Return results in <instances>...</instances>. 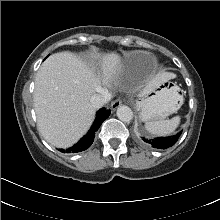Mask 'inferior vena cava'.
<instances>
[{"mask_svg": "<svg viewBox=\"0 0 220 220\" xmlns=\"http://www.w3.org/2000/svg\"><path fill=\"white\" fill-rule=\"evenodd\" d=\"M111 99V95L107 90H103L99 94H94L90 102L94 108H101Z\"/></svg>", "mask_w": 220, "mask_h": 220, "instance_id": "602c4592", "label": "inferior vena cava"}]
</instances>
